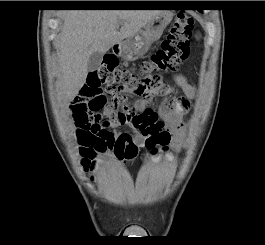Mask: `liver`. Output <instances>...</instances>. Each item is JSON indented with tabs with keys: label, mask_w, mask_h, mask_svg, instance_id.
Instances as JSON below:
<instances>
[{
	"label": "liver",
	"mask_w": 265,
	"mask_h": 245,
	"mask_svg": "<svg viewBox=\"0 0 265 245\" xmlns=\"http://www.w3.org/2000/svg\"><path fill=\"white\" fill-rule=\"evenodd\" d=\"M159 10H69L59 35L60 90L71 101L84 85L93 52L106 53L139 32ZM122 23L120 31L117 30Z\"/></svg>",
	"instance_id": "liver-1"
}]
</instances>
